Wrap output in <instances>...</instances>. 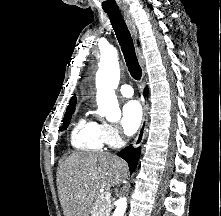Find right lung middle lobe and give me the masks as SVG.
<instances>
[{
    "instance_id": "1",
    "label": "right lung middle lobe",
    "mask_w": 221,
    "mask_h": 216,
    "mask_svg": "<svg viewBox=\"0 0 221 216\" xmlns=\"http://www.w3.org/2000/svg\"><path fill=\"white\" fill-rule=\"evenodd\" d=\"M73 112H70V113H66L65 114V117H64V119H63V127H62V129L61 130H64V129H66L67 128V126L69 125V122H70V118H71V114H72Z\"/></svg>"
}]
</instances>
